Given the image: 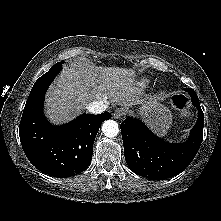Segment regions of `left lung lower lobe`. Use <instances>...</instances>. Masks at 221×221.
<instances>
[{
  "label": "left lung lower lobe",
  "instance_id": "1",
  "mask_svg": "<svg viewBox=\"0 0 221 221\" xmlns=\"http://www.w3.org/2000/svg\"><path fill=\"white\" fill-rule=\"evenodd\" d=\"M198 109V120L191 137L184 143H167L154 135L140 120L127 118L121 123L124 156L137 175L165 179L182 172L193 160L202 142L204 114L195 91L184 89Z\"/></svg>",
  "mask_w": 221,
  "mask_h": 221
}]
</instances>
